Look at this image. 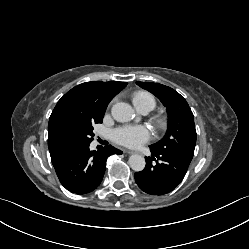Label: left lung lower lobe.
I'll use <instances>...</instances> for the list:
<instances>
[{
	"instance_id": "1",
	"label": "left lung lower lobe",
	"mask_w": 249,
	"mask_h": 249,
	"mask_svg": "<svg viewBox=\"0 0 249 249\" xmlns=\"http://www.w3.org/2000/svg\"><path fill=\"white\" fill-rule=\"evenodd\" d=\"M150 150L152 156L145 157L144 170L135 173L136 183L141 190L151 195L169 193L184 178L192 158L177 153L159 152L151 147Z\"/></svg>"
}]
</instances>
